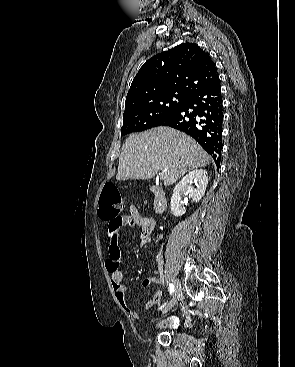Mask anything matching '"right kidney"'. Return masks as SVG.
I'll list each match as a JSON object with an SVG mask.
<instances>
[{"label":"right kidney","mask_w":295,"mask_h":367,"mask_svg":"<svg viewBox=\"0 0 295 367\" xmlns=\"http://www.w3.org/2000/svg\"><path fill=\"white\" fill-rule=\"evenodd\" d=\"M192 183H195L196 188H192ZM208 184L207 171L204 169H196L189 172L181 182L174 188V193L171 197L170 209L175 217L185 214L186 209L181 200V192L186 191L193 202H199L205 194Z\"/></svg>","instance_id":"obj_1"}]
</instances>
